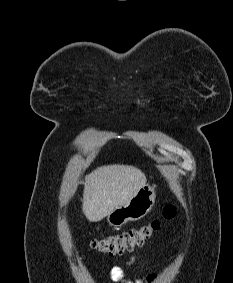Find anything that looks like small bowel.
Listing matches in <instances>:
<instances>
[{
	"mask_svg": "<svg viewBox=\"0 0 233 283\" xmlns=\"http://www.w3.org/2000/svg\"><path fill=\"white\" fill-rule=\"evenodd\" d=\"M140 254H137L133 260H136L138 257H139ZM110 276H111V279L112 281L114 282H121V283H142L140 280H126L124 278V275H123V271H122V268L120 266H114L112 269H111V272H110ZM155 279V276L154 275H150L148 276L147 278V281L148 282H152L154 281Z\"/></svg>",
	"mask_w": 233,
	"mask_h": 283,
	"instance_id": "obj_1",
	"label": "small bowel"
}]
</instances>
